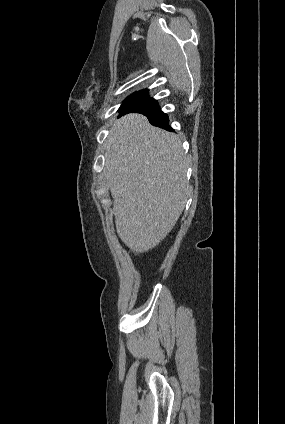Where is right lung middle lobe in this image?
Here are the masks:
<instances>
[{
  "label": "right lung middle lobe",
  "mask_w": 285,
  "mask_h": 424,
  "mask_svg": "<svg viewBox=\"0 0 285 424\" xmlns=\"http://www.w3.org/2000/svg\"><path fill=\"white\" fill-rule=\"evenodd\" d=\"M148 97V90L144 89L138 92H135L133 94H131L129 97H127L123 102L122 105L119 108V111L122 112L124 111L129 105H131L132 103H134L135 101L141 100L143 98Z\"/></svg>",
  "instance_id": "obj_1"
}]
</instances>
